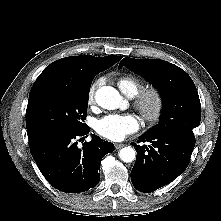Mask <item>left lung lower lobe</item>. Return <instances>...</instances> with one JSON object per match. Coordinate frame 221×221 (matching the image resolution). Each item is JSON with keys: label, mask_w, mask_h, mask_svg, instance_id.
<instances>
[{"label": "left lung lower lobe", "mask_w": 221, "mask_h": 221, "mask_svg": "<svg viewBox=\"0 0 221 221\" xmlns=\"http://www.w3.org/2000/svg\"><path fill=\"white\" fill-rule=\"evenodd\" d=\"M148 141L151 146L136 145V162L131 171L134 187L151 193L178 177L189 165L195 142L170 135L144 134L139 142Z\"/></svg>", "instance_id": "1"}]
</instances>
